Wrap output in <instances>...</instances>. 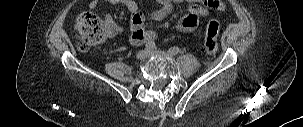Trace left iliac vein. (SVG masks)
Here are the masks:
<instances>
[{
	"label": "left iliac vein",
	"instance_id": "1",
	"mask_svg": "<svg viewBox=\"0 0 303 127\" xmlns=\"http://www.w3.org/2000/svg\"><path fill=\"white\" fill-rule=\"evenodd\" d=\"M148 55L151 56V57H168V58L173 56L169 52L158 50V49L149 51Z\"/></svg>",
	"mask_w": 303,
	"mask_h": 127
}]
</instances>
